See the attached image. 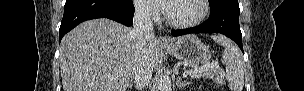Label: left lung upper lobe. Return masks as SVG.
Masks as SVG:
<instances>
[{"label":"left lung upper lobe","instance_id":"left-lung-upper-lobe-1","mask_svg":"<svg viewBox=\"0 0 304 91\" xmlns=\"http://www.w3.org/2000/svg\"><path fill=\"white\" fill-rule=\"evenodd\" d=\"M210 5V10H214L219 7L221 4L229 1V0H208Z\"/></svg>","mask_w":304,"mask_h":91}]
</instances>
